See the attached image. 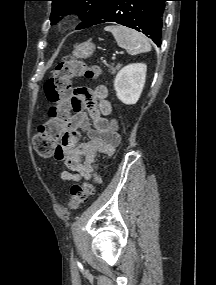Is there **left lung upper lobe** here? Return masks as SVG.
Here are the masks:
<instances>
[{"label": "left lung upper lobe", "instance_id": "left-lung-upper-lobe-1", "mask_svg": "<svg viewBox=\"0 0 216 285\" xmlns=\"http://www.w3.org/2000/svg\"><path fill=\"white\" fill-rule=\"evenodd\" d=\"M52 1L51 24H55L60 16L76 13L82 19L76 28L91 27L103 14L112 0H50Z\"/></svg>", "mask_w": 216, "mask_h": 285}]
</instances>
